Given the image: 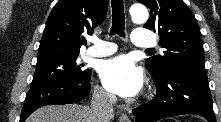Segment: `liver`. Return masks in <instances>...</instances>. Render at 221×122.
<instances>
[{"label":"liver","mask_w":221,"mask_h":122,"mask_svg":"<svg viewBox=\"0 0 221 122\" xmlns=\"http://www.w3.org/2000/svg\"><path fill=\"white\" fill-rule=\"evenodd\" d=\"M90 110L78 104L49 105L37 109L27 122H93Z\"/></svg>","instance_id":"1"}]
</instances>
